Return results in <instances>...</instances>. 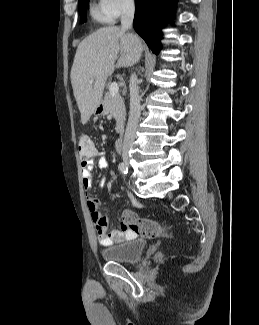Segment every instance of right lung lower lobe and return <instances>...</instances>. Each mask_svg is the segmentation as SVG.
Here are the masks:
<instances>
[{"label":"right lung lower lobe","mask_w":259,"mask_h":325,"mask_svg":"<svg viewBox=\"0 0 259 325\" xmlns=\"http://www.w3.org/2000/svg\"><path fill=\"white\" fill-rule=\"evenodd\" d=\"M176 2L177 0H135L133 27L156 54L161 46V25L173 15Z\"/></svg>","instance_id":"right-lung-lower-lobe-1"}]
</instances>
